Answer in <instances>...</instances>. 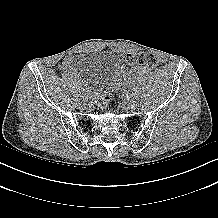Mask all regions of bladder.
<instances>
[{"label": "bladder", "mask_w": 218, "mask_h": 218, "mask_svg": "<svg viewBox=\"0 0 218 218\" xmlns=\"http://www.w3.org/2000/svg\"><path fill=\"white\" fill-rule=\"evenodd\" d=\"M80 65L93 92L103 91L120 75L119 61L114 53L98 52L80 56Z\"/></svg>", "instance_id": "31cf9c89"}]
</instances>
